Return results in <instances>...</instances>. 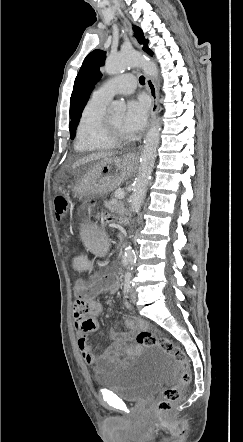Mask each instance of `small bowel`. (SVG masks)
<instances>
[{
  "label": "small bowel",
  "instance_id": "small-bowel-1",
  "mask_svg": "<svg viewBox=\"0 0 243 442\" xmlns=\"http://www.w3.org/2000/svg\"><path fill=\"white\" fill-rule=\"evenodd\" d=\"M120 279L119 274L111 272L103 276H96L91 284L79 283L74 290L76 301L73 306V314L78 350L83 361L96 373H108L130 366L141 352L140 345L130 343L133 333L147 326L138 317H129L123 322L124 327L128 330L126 333H119L114 328L110 329L109 337L112 343L105 351L96 350L88 342V334L98 329L96 318L103 312V305L95 301L93 297L103 292H115ZM125 308L131 310L132 306L126 302Z\"/></svg>",
  "mask_w": 243,
  "mask_h": 442
}]
</instances>
